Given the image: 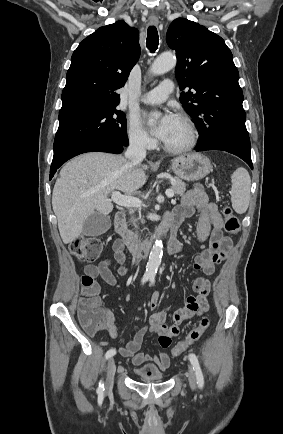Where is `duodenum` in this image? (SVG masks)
I'll return each instance as SVG.
<instances>
[{
	"label": "duodenum",
	"instance_id": "obj_1",
	"mask_svg": "<svg viewBox=\"0 0 283 434\" xmlns=\"http://www.w3.org/2000/svg\"><path fill=\"white\" fill-rule=\"evenodd\" d=\"M114 229L119 235L122 243L132 252L135 257H145L150 252V249L155 239H165L168 231L170 230L169 243L175 240L177 237L176 227L168 222L164 221L157 233V235L146 243H140L135 236L127 229V216L123 211H118L114 216Z\"/></svg>",
	"mask_w": 283,
	"mask_h": 434
}]
</instances>
